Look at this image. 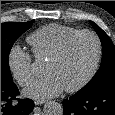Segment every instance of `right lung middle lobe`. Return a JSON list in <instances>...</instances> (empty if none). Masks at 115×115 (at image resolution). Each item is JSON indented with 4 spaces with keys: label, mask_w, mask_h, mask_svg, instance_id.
Masks as SVG:
<instances>
[{
    "label": "right lung middle lobe",
    "mask_w": 115,
    "mask_h": 115,
    "mask_svg": "<svg viewBox=\"0 0 115 115\" xmlns=\"http://www.w3.org/2000/svg\"><path fill=\"white\" fill-rule=\"evenodd\" d=\"M34 20L26 23H3L1 24V83H13L9 68V53L16 39L28 30Z\"/></svg>",
    "instance_id": "obj_1"
}]
</instances>
